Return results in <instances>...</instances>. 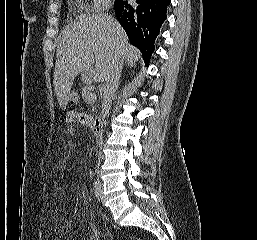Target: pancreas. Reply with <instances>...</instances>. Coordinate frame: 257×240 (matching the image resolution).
<instances>
[{
    "label": "pancreas",
    "mask_w": 257,
    "mask_h": 240,
    "mask_svg": "<svg viewBox=\"0 0 257 240\" xmlns=\"http://www.w3.org/2000/svg\"><path fill=\"white\" fill-rule=\"evenodd\" d=\"M91 95H93V94L91 93L90 86H88V85L84 86L82 88V97H83V99L86 102L92 103V102L95 101V99H92Z\"/></svg>",
    "instance_id": "cf45deb5"
}]
</instances>
